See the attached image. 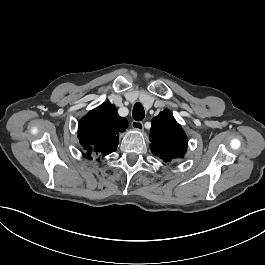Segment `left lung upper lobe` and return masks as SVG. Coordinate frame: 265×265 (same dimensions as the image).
I'll list each match as a JSON object with an SVG mask.
<instances>
[{
  "label": "left lung upper lobe",
  "instance_id": "left-lung-upper-lobe-1",
  "mask_svg": "<svg viewBox=\"0 0 265 265\" xmlns=\"http://www.w3.org/2000/svg\"><path fill=\"white\" fill-rule=\"evenodd\" d=\"M149 140L155 156L165 162L183 158L187 150V137L170 110L153 118Z\"/></svg>",
  "mask_w": 265,
  "mask_h": 265
}]
</instances>
